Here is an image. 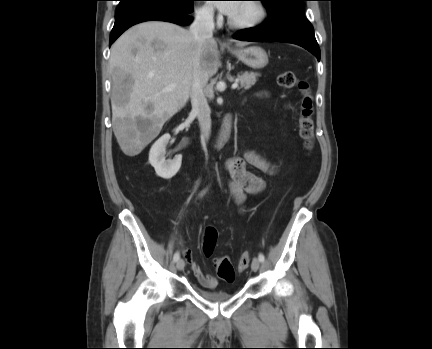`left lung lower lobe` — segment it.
Wrapping results in <instances>:
<instances>
[{"instance_id":"left-lung-lower-lobe-1","label":"left lung lower lobe","mask_w":432,"mask_h":349,"mask_svg":"<svg viewBox=\"0 0 432 349\" xmlns=\"http://www.w3.org/2000/svg\"><path fill=\"white\" fill-rule=\"evenodd\" d=\"M234 37L242 41L293 43L307 49L320 60L313 26L303 17L276 16L257 27L240 30Z\"/></svg>"}]
</instances>
